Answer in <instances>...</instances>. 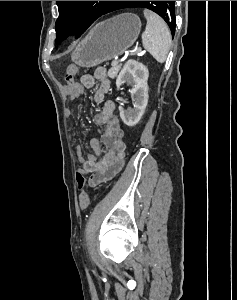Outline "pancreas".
<instances>
[{
	"instance_id": "obj_1",
	"label": "pancreas",
	"mask_w": 237,
	"mask_h": 300,
	"mask_svg": "<svg viewBox=\"0 0 237 300\" xmlns=\"http://www.w3.org/2000/svg\"><path fill=\"white\" fill-rule=\"evenodd\" d=\"M120 69H121V65H119L117 67L116 66L111 67V69H109V71H108V77H110V79H114V77H116V75H117L118 71H120Z\"/></svg>"
}]
</instances>
